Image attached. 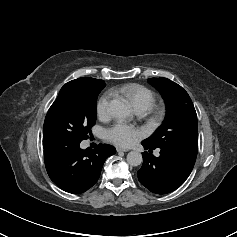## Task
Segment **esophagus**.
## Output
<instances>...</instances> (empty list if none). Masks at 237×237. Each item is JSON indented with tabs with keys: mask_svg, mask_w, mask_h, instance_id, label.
<instances>
[{
	"mask_svg": "<svg viewBox=\"0 0 237 237\" xmlns=\"http://www.w3.org/2000/svg\"><path fill=\"white\" fill-rule=\"evenodd\" d=\"M116 151H117V152H128L129 149H124V148L117 147V148H116Z\"/></svg>",
	"mask_w": 237,
	"mask_h": 237,
	"instance_id": "1",
	"label": "esophagus"
}]
</instances>
